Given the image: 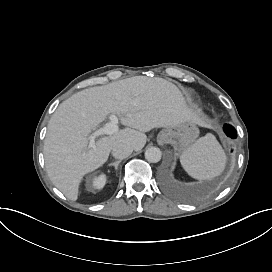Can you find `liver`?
<instances>
[{"label": "liver", "instance_id": "liver-1", "mask_svg": "<svg viewBox=\"0 0 272 272\" xmlns=\"http://www.w3.org/2000/svg\"><path fill=\"white\" fill-rule=\"evenodd\" d=\"M110 113L117 114L126 128L88 148L92 129ZM183 122L203 125L178 87L163 78L134 76L84 89L63 101L49 120L43 148L48 176L76 201L83 176L102 166L115 145L139 151L146 144L144 132Z\"/></svg>", "mask_w": 272, "mask_h": 272}]
</instances>
